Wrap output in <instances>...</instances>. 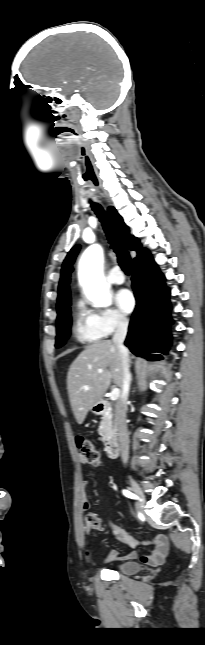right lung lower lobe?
Returning a JSON list of instances; mask_svg holds the SVG:
<instances>
[{
  "instance_id": "right-lung-lower-lobe-1",
  "label": "right lung lower lobe",
  "mask_w": 205,
  "mask_h": 645,
  "mask_svg": "<svg viewBox=\"0 0 205 645\" xmlns=\"http://www.w3.org/2000/svg\"><path fill=\"white\" fill-rule=\"evenodd\" d=\"M132 288L136 307L125 345L137 356L166 353L170 345V289L152 257L133 263ZM152 356L153 355H146Z\"/></svg>"
}]
</instances>
